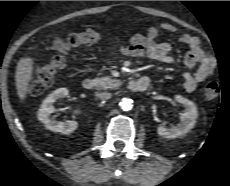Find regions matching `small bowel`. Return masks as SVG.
Returning <instances> with one entry per match:
<instances>
[{
    "mask_svg": "<svg viewBox=\"0 0 230 186\" xmlns=\"http://www.w3.org/2000/svg\"><path fill=\"white\" fill-rule=\"evenodd\" d=\"M163 32L175 35L180 43L188 47L184 57L183 86L188 92L195 90L198 84L214 73L216 61L200 46L197 37L187 33H179L178 29L170 23L152 26L147 29L145 35H132L127 45L113 43V51L125 56H145L165 64H172L174 59L171 56V46L158 40Z\"/></svg>",
    "mask_w": 230,
    "mask_h": 186,
    "instance_id": "1",
    "label": "small bowel"
}]
</instances>
